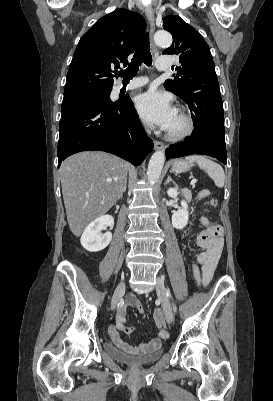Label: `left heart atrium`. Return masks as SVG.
<instances>
[{"instance_id":"39dd6f15","label":"left heart atrium","mask_w":273,"mask_h":401,"mask_svg":"<svg viewBox=\"0 0 273 401\" xmlns=\"http://www.w3.org/2000/svg\"><path fill=\"white\" fill-rule=\"evenodd\" d=\"M136 107L144 122L168 130L177 111L166 96L147 92L137 98Z\"/></svg>"}]
</instances>
